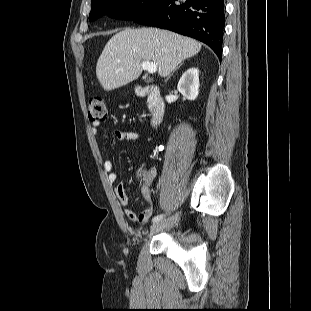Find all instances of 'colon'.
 <instances>
[{
  "instance_id": "colon-1",
  "label": "colon",
  "mask_w": 311,
  "mask_h": 311,
  "mask_svg": "<svg viewBox=\"0 0 311 311\" xmlns=\"http://www.w3.org/2000/svg\"><path fill=\"white\" fill-rule=\"evenodd\" d=\"M106 115L107 110L104 100L100 97L92 98L88 105L89 120L92 122H100L106 118Z\"/></svg>"
}]
</instances>
